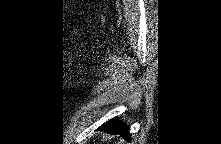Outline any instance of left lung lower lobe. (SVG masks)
<instances>
[{"label":"left lung lower lobe","mask_w":221,"mask_h":144,"mask_svg":"<svg viewBox=\"0 0 221 144\" xmlns=\"http://www.w3.org/2000/svg\"><path fill=\"white\" fill-rule=\"evenodd\" d=\"M99 129L105 130L110 134H120L124 139L130 141L129 127L118 120H110L104 123Z\"/></svg>","instance_id":"0a47b994"}]
</instances>
